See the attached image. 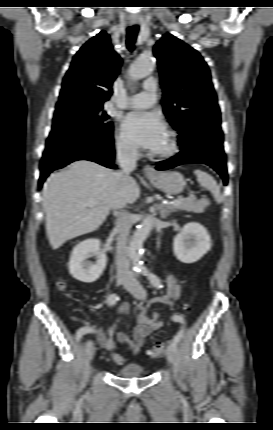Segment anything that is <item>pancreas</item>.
I'll use <instances>...</instances> for the list:
<instances>
[{
	"label": "pancreas",
	"instance_id": "1",
	"mask_svg": "<svg viewBox=\"0 0 273 430\" xmlns=\"http://www.w3.org/2000/svg\"><path fill=\"white\" fill-rule=\"evenodd\" d=\"M208 201L205 199L197 200L196 198L183 199L179 205L168 207L171 211L185 210L193 213H203Z\"/></svg>",
	"mask_w": 273,
	"mask_h": 430
}]
</instances>
